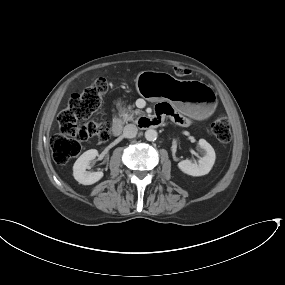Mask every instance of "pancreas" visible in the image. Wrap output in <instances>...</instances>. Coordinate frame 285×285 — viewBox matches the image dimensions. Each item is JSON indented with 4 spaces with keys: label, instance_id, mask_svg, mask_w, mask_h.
Here are the masks:
<instances>
[{
    "label": "pancreas",
    "instance_id": "1",
    "mask_svg": "<svg viewBox=\"0 0 285 285\" xmlns=\"http://www.w3.org/2000/svg\"><path fill=\"white\" fill-rule=\"evenodd\" d=\"M133 107L134 106H128L126 108V107H122V106L118 105V111H119L118 115L120 117V120L123 123H127L128 121L137 122L138 117H137V119H135V115L136 116L143 115V111H141L139 109L133 110Z\"/></svg>",
    "mask_w": 285,
    "mask_h": 285
}]
</instances>
